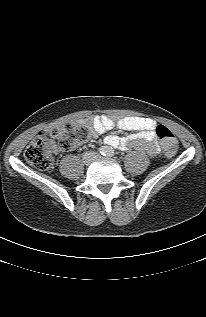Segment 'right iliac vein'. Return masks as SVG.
<instances>
[{
	"label": "right iliac vein",
	"mask_w": 206,
	"mask_h": 317,
	"mask_svg": "<svg viewBox=\"0 0 206 317\" xmlns=\"http://www.w3.org/2000/svg\"><path fill=\"white\" fill-rule=\"evenodd\" d=\"M92 160V156L87 157L86 163H89Z\"/></svg>",
	"instance_id": "obj_1"
}]
</instances>
